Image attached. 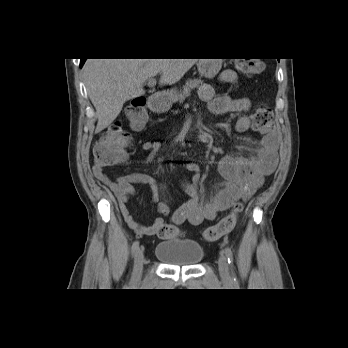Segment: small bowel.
I'll return each instance as SVG.
<instances>
[{
    "mask_svg": "<svg viewBox=\"0 0 348 348\" xmlns=\"http://www.w3.org/2000/svg\"><path fill=\"white\" fill-rule=\"evenodd\" d=\"M223 84L236 86L238 75L233 70H225L220 75ZM199 97L208 104L209 110L214 114L238 112L234 128L242 133L250 129V120L245 114L250 109V100L246 97L233 99L229 95H215L214 88L208 83L199 87ZM162 149L158 141H146L141 144V150L148 153L147 160L152 162ZM127 155L117 164L127 162ZM278 163V136L271 133L264 137L255 153L247 157L224 156L218 168L226 179V183L218 194L210 201L202 202L198 190L200 169L195 163L186 164L185 168L193 174L192 182H183V189L189 199L170 214V203L166 187L155 178L143 173H129L118 176L112 180L105 172V166L95 164L93 173L103 184L108 186L115 194L120 212L127 226L141 236L158 234L159 229L165 224V216H170L172 225L188 221L192 225H199L206 220H213L220 211L228 209L235 200H249L262 186L266 176L272 174ZM134 184H148L153 189V201L157 203V212L161 217L154 219L151 225L143 226L138 223L127 203L135 194Z\"/></svg>",
    "mask_w": 348,
    "mask_h": 348,
    "instance_id": "1",
    "label": "small bowel"
}]
</instances>
